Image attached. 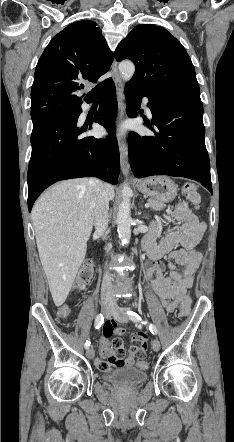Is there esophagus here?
I'll return each mask as SVG.
<instances>
[{
    "label": "esophagus",
    "mask_w": 234,
    "mask_h": 442,
    "mask_svg": "<svg viewBox=\"0 0 234 442\" xmlns=\"http://www.w3.org/2000/svg\"><path fill=\"white\" fill-rule=\"evenodd\" d=\"M113 72V79L117 90L118 99V119L121 121L125 115V105H124V86L121 76L118 71L117 62L114 60L111 65ZM119 150H120V165L124 176H129V164L127 160L128 152L125 137H121L119 140Z\"/></svg>",
    "instance_id": "1"
}]
</instances>
